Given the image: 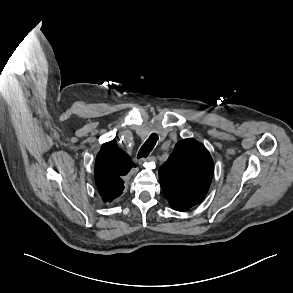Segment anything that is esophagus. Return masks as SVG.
Returning <instances> with one entry per match:
<instances>
[{"mask_svg": "<svg viewBox=\"0 0 293 293\" xmlns=\"http://www.w3.org/2000/svg\"><path fill=\"white\" fill-rule=\"evenodd\" d=\"M152 161H155V157L154 156H149V157L141 159L140 163H142V162H152Z\"/></svg>", "mask_w": 293, "mask_h": 293, "instance_id": "34e87169", "label": "esophagus"}]
</instances>
